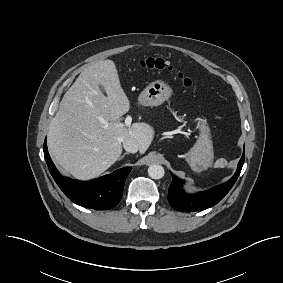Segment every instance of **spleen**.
Wrapping results in <instances>:
<instances>
[{
	"mask_svg": "<svg viewBox=\"0 0 283 283\" xmlns=\"http://www.w3.org/2000/svg\"><path fill=\"white\" fill-rule=\"evenodd\" d=\"M227 165V162L224 159H220L217 161L216 166L217 167H225ZM209 166V165H208Z\"/></svg>",
	"mask_w": 283,
	"mask_h": 283,
	"instance_id": "spleen-1",
	"label": "spleen"
}]
</instances>
